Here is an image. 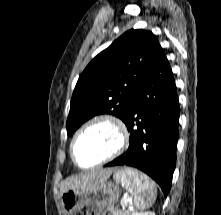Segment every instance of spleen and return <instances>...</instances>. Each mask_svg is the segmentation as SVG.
<instances>
[{
  "label": "spleen",
  "instance_id": "1",
  "mask_svg": "<svg viewBox=\"0 0 221 215\" xmlns=\"http://www.w3.org/2000/svg\"><path fill=\"white\" fill-rule=\"evenodd\" d=\"M114 177L133 195V204L137 210L151 207L156 199V185L148 176L136 170L125 169L117 172Z\"/></svg>",
  "mask_w": 221,
  "mask_h": 215
}]
</instances>
